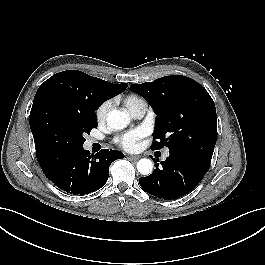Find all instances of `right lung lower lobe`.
I'll return each mask as SVG.
<instances>
[{"mask_svg": "<svg viewBox=\"0 0 265 265\" xmlns=\"http://www.w3.org/2000/svg\"><path fill=\"white\" fill-rule=\"evenodd\" d=\"M124 154L102 149L93 157L83 147L50 154L38 159L45 173L61 190L70 194H88L103 187L109 176V166Z\"/></svg>", "mask_w": 265, "mask_h": 265, "instance_id": "obj_1", "label": "right lung lower lobe"}]
</instances>
